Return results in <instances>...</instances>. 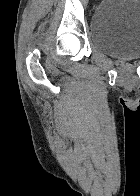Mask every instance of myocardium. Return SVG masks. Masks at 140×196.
<instances>
[{"label":"myocardium","mask_w":140,"mask_h":196,"mask_svg":"<svg viewBox=\"0 0 140 196\" xmlns=\"http://www.w3.org/2000/svg\"><path fill=\"white\" fill-rule=\"evenodd\" d=\"M86 192H120V191H86Z\"/></svg>","instance_id":"obj_1"}]
</instances>
